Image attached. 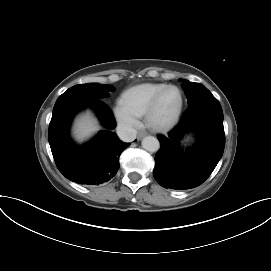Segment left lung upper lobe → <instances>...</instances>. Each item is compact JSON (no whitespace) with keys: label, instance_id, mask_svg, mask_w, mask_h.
<instances>
[{"label":"left lung upper lobe","instance_id":"obj_1","mask_svg":"<svg viewBox=\"0 0 271 271\" xmlns=\"http://www.w3.org/2000/svg\"><path fill=\"white\" fill-rule=\"evenodd\" d=\"M181 86L186 94L189 106L197 103L198 101L214 97L211 92L200 83L183 80Z\"/></svg>","mask_w":271,"mask_h":271}]
</instances>
